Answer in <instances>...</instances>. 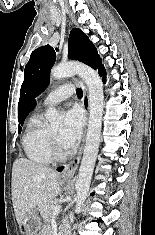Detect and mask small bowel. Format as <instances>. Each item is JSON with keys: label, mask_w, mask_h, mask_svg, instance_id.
Instances as JSON below:
<instances>
[{"label": "small bowel", "mask_w": 155, "mask_h": 235, "mask_svg": "<svg viewBox=\"0 0 155 235\" xmlns=\"http://www.w3.org/2000/svg\"><path fill=\"white\" fill-rule=\"evenodd\" d=\"M40 235H49L48 232H42Z\"/></svg>", "instance_id": "1"}]
</instances>
